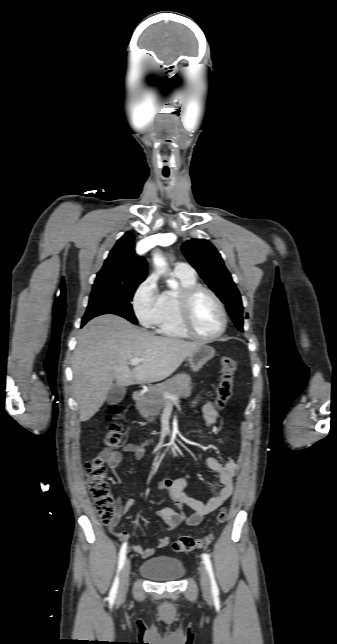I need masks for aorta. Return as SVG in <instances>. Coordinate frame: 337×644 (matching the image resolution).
Segmentation results:
<instances>
[{
    "label": "aorta",
    "instance_id": "obj_1",
    "mask_svg": "<svg viewBox=\"0 0 337 644\" xmlns=\"http://www.w3.org/2000/svg\"><path fill=\"white\" fill-rule=\"evenodd\" d=\"M153 263L158 270L164 271L167 267L165 259L158 253L153 254ZM168 286L172 289L178 288V282L175 280H169Z\"/></svg>",
    "mask_w": 337,
    "mask_h": 644
}]
</instances>
